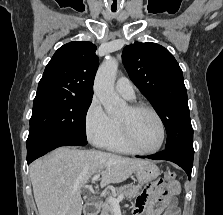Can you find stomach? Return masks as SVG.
I'll return each instance as SVG.
<instances>
[{
    "label": "stomach",
    "instance_id": "1",
    "mask_svg": "<svg viewBox=\"0 0 223 215\" xmlns=\"http://www.w3.org/2000/svg\"><path fill=\"white\" fill-rule=\"evenodd\" d=\"M134 173H136V177L138 181L144 180L145 183H149L152 179H156L160 173L159 167L153 163V161H149V163H145V165H141V167H137Z\"/></svg>",
    "mask_w": 223,
    "mask_h": 215
}]
</instances>
